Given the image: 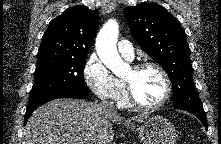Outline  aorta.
Listing matches in <instances>:
<instances>
[{"instance_id": "762f6f07", "label": "aorta", "mask_w": 221, "mask_h": 144, "mask_svg": "<svg viewBox=\"0 0 221 144\" xmlns=\"http://www.w3.org/2000/svg\"><path fill=\"white\" fill-rule=\"evenodd\" d=\"M119 25L115 20H109L101 28L96 38V51L103 64L116 76H122L129 65L120 57L116 43Z\"/></svg>"}]
</instances>
